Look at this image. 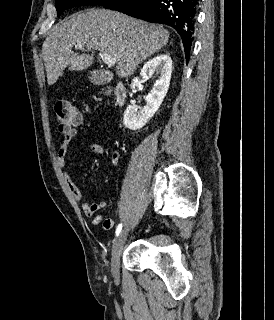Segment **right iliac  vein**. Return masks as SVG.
Instances as JSON below:
<instances>
[{"label": "right iliac vein", "instance_id": "1", "mask_svg": "<svg viewBox=\"0 0 274 320\" xmlns=\"http://www.w3.org/2000/svg\"><path fill=\"white\" fill-rule=\"evenodd\" d=\"M127 236V228H124L117 239L115 240L112 248V256H111V272L114 279L119 281V264L120 257L123 251L124 242Z\"/></svg>", "mask_w": 274, "mask_h": 320}]
</instances>
